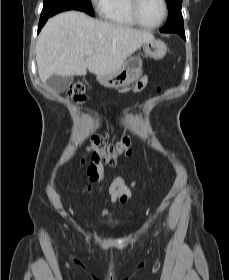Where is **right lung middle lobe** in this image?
Returning <instances> with one entry per match:
<instances>
[{"label":"right lung middle lobe","mask_w":229,"mask_h":280,"mask_svg":"<svg viewBox=\"0 0 229 280\" xmlns=\"http://www.w3.org/2000/svg\"><path fill=\"white\" fill-rule=\"evenodd\" d=\"M72 9L94 16L90 0H44L41 15L51 16L59 11Z\"/></svg>","instance_id":"right-lung-middle-lobe-1"}]
</instances>
